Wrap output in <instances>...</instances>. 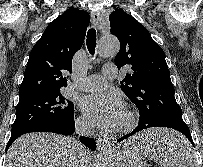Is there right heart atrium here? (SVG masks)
I'll return each instance as SVG.
<instances>
[{"instance_id":"1","label":"right heart atrium","mask_w":203,"mask_h":167,"mask_svg":"<svg viewBox=\"0 0 203 167\" xmlns=\"http://www.w3.org/2000/svg\"><path fill=\"white\" fill-rule=\"evenodd\" d=\"M76 125L79 129H82V130H87L90 128L89 121L83 116H80L77 118Z\"/></svg>"}]
</instances>
